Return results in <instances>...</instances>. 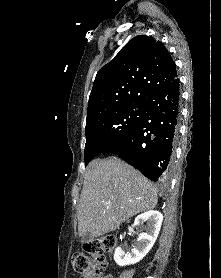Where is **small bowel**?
I'll return each instance as SVG.
<instances>
[{
  "label": "small bowel",
  "mask_w": 221,
  "mask_h": 278,
  "mask_svg": "<svg viewBox=\"0 0 221 278\" xmlns=\"http://www.w3.org/2000/svg\"><path fill=\"white\" fill-rule=\"evenodd\" d=\"M103 278H114V277L111 274H106V275H104Z\"/></svg>",
  "instance_id": "small-bowel-1"
}]
</instances>
